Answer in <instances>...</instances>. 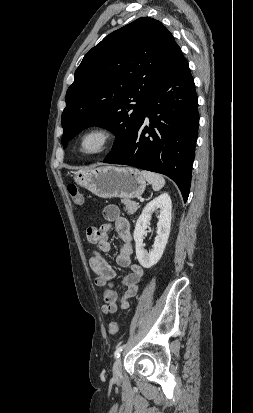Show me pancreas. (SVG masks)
Instances as JSON below:
<instances>
[{"label":"pancreas","instance_id":"pancreas-1","mask_svg":"<svg viewBox=\"0 0 253 413\" xmlns=\"http://www.w3.org/2000/svg\"><path fill=\"white\" fill-rule=\"evenodd\" d=\"M122 203L124 204V210L127 212L128 215L134 214L140 207L139 203H136L129 199H123Z\"/></svg>","mask_w":253,"mask_h":413}]
</instances>
